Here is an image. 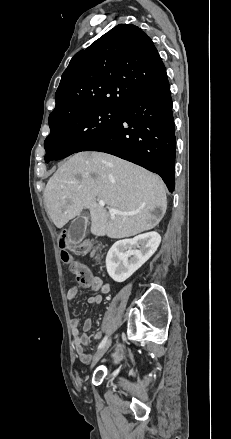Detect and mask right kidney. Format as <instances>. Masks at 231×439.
I'll return each mask as SVG.
<instances>
[{
  "label": "right kidney",
  "instance_id": "right-kidney-1",
  "mask_svg": "<svg viewBox=\"0 0 231 439\" xmlns=\"http://www.w3.org/2000/svg\"><path fill=\"white\" fill-rule=\"evenodd\" d=\"M160 242L157 232L115 242L106 256L109 276L116 282H124L156 252Z\"/></svg>",
  "mask_w": 231,
  "mask_h": 439
}]
</instances>
